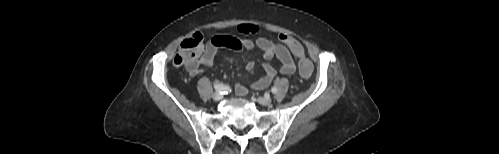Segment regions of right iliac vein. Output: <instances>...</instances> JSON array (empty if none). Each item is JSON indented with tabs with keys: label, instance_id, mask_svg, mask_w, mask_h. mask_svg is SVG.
<instances>
[{
	"label": "right iliac vein",
	"instance_id": "obj_1",
	"mask_svg": "<svg viewBox=\"0 0 499 154\" xmlns=\"http://www.w3.org/2000/svg\"><path fill=\"white\" fill-rule=\"evenodd\" d=\"M213 100L214 101H219L222 99V94H220L219 92H215L212 96Z\"/></svg>",
	"mask_w": 499,
	"mask_h": 154
}]
</instances>
